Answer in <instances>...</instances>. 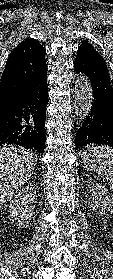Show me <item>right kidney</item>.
<instances>
[{
  "instance_id": "1",
  "label": "right kidney",
  "mask_w": 113,
  "mask_h": 279,
  "mask_svg": "<svg viewBox=\"0 0 113 279\" xmlns=\"http://www.w3.org/2000/svg\"><path fill=\"white\" fill-rule=\"evenodd\" d=\"M36 202V190L33 186H26L11 201L8 218L18 226H23L34 215Z\"/></svg>"
}]
</instances>
